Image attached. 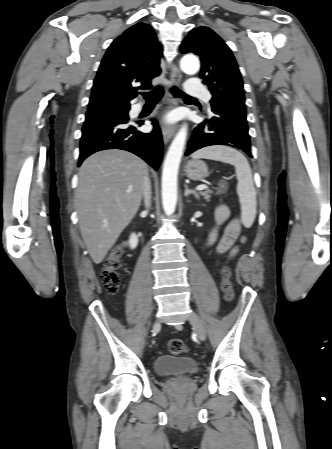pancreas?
<instances>
[{"label":"pancreas","instance_id":"1","mask_svg":"<svg viewBox=\"0 0 332 449\" xmlns=\"http://www.w3.org/2000/svg\"><path fill=\"white\" fill-rule=\"evenodd\" d=\"M212 190H206V191H204V192H200V194L207 200V201H209V199H210V197H211V194H212Z\"/></svg>","mask_w":332,"mask_h":449}]
</instances>
